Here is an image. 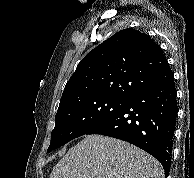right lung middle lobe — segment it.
<instances>
[{"mask_svg": "<svg viewBox=\"0 0 194 178\" xmlns=\"http://www.w3.org/2000/svg\"><path fill=\"white\" fill-rule=\"evenodd\" d=\"M127 100L98 96L73 101L59 108L47 152L86 134L91 128L118 110Z\"/></svg>", "mask_w": 194, "mask_h": 178, "instance_id": "dd1d6c3e", "label": "right lung middle lobe"}]
</instances>
